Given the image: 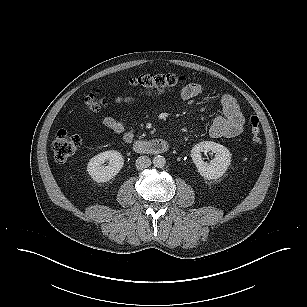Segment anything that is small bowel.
I'll list each match as a JSON object with an SVG mask.
<instances>
[{"mask_svg": "<svg viewBox=\"0 0 307 307\" xmlns=\"http://www.w3.org/2000/svg\"><path fill=\"white\" fill-rule=\"evenodd\" d=\"M203 87L198 83H189L186 85L182 92L181 97L184 100L196 98L203 93ZM116 104H129L137 107L139 104L137 100L130 96H120L116 99ZM222 107V114L215 116L209 127V134L213 138H234L239 136L244 129V116L240 110V106L236 99L230 94H223L220 98ZM104 127L113 133L122 137L126 143L133 141L135 132L119 120L111 116L102 118Z\"/></svg>", "mask_w": 307, "mask_h": 307, "instance_id": "c3829d8e", "label": "small bowel"}]
</instances>
